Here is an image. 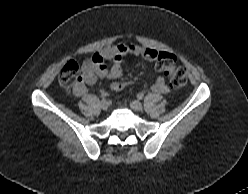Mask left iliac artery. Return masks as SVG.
Returning <instances> with one entry per match:
<instances>
[{"label": "left iliac artery", "instance_id": "obj_1", "mask_svg": "<svg viewBox=\"0 0 248 194\" xmlns=\"http://www.w3.org/2000/svg\"><path fill=\"white\" fill-rule=\"evenodd\" d=\"M137 98L140 99V100L143 99L144 98V94L143 93H138L137 94Z\"/></svg>", "mask_w": 248, "mask_h": 194}]
</instances>
